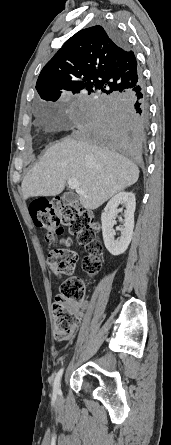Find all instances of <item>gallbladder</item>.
I'll return each instance as SVG.
<instances>
[{"label":"gallbladder","mask_w":171,"mask_h":445,"mask_svg":"<svg viewBox=\"0 0 171 445\" xmlns=\"http://www.w3.org/2000/svg\"><path fill=\"white\" fill-rule=\"evenodd\" d=\"M63 200H65V201H72L73 200V197L69 194V193H65L64 195H63Z\"/></svg>","instance_id":"1"}]
</instances>
